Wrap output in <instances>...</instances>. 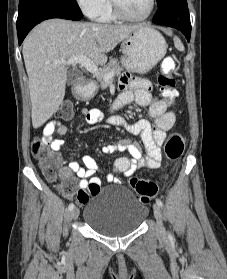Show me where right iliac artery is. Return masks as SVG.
<instances>
[{
    "label": "right iliac artery",
    "instance_id": "right-iliac-artery-1",
    "mask_svg": "<svg viewBox=\"0 0 227 279\" xmlns=\"http://www.w3.org/2000/svg\"><path fill=\"white\" fill-rule=\"evenodd\" d=\"M73 208H74V204H73V203H71V204L69 205L68 209H69L70 211H72V210H73Z\"/></svg>",
    "mask_w": 227,
    "mask_h": 279
}]
</instances>
